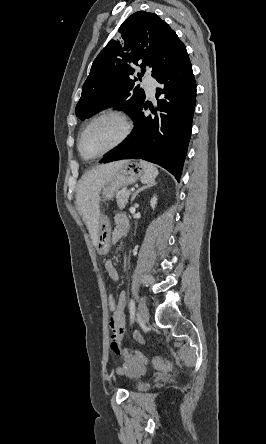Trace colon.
<instances>
[{"label": "colon", "mask_w": 266, "mask_h": 444, "mask_svg": "<svg viewBox=\"0 0 266 444\" xmlns=\"http://www.w3.org/2000/svg\"><path fill=\"white\" fill-rule=\"evenodd\" d=\"M117 303L115 297L112 294L107 296V308L109 311L114 312ZM125 358L129 360L130 370L141 371L145 365L150 363L154 368L159 370H168L171 368V363L167 358L156 357L149 359L146 355L138 351L125 352Z\"/></svg>", "instance_id": "5ec220e1"}]
</instances>
